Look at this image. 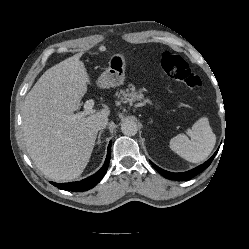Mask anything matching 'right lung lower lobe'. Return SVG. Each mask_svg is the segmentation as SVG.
Masks as SVG:
<instances>
[{"label":"right lung lower lobe","instance_id":"1","mask_svg":"<svg viewBox=\"0 0 249 249\" xmlns=\"http://www.w3.org/2000/svg\"><path fill=\"white\" fill-rule=\"evenodd\" d=\"M110 157H111V142L108 145V151H107V157H106L105 163L98 172H96L92 176L85 178L79 182L77 181V182H70V183H54V182H50V183L66 191L81 192V191L89 190L93 188L95 185H97L101 181V179L104 177L107 171L108 165H109Z\"/></svg>","mask_w":249,"mask_h":249}]
</instances>
